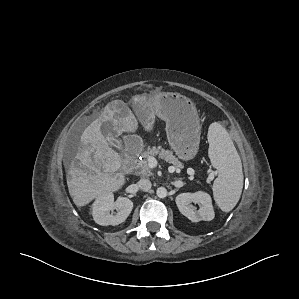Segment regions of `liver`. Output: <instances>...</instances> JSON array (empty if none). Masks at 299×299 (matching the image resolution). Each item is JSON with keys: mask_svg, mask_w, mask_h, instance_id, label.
<instances>
[{"mask_svg": "<svg viewBox=\"0 0 299 299\" xmlns=\"http://www.w3.org/2000/svg\"><path fill=\"white\" fill-rule=\"evenodd\" d=\"M154 115L144 117L145 129L151 130ZM111 122L117 135L135 132L138 122L123 101L109 103L82 133L80 147L74 160L68 165L67 186L77 207H82L107 193L119 190L125 183L124 175L116 173L122 158L112 149L101 132V126Z\"/></svg>", "mask_w": 299, "mask_h": 299, "instance_id": "obj_1", "label": "liver"}]
</instances>
